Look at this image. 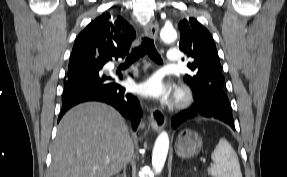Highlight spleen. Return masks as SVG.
Listing matches in <instances>:
<instances>
[{"label":"spleen","mask_w":287,"mask_h":177,"mask_svg":"<svg viewBox=\"0 0 287 177\" xmlns=\"http://www.w3.org/2000/svg\"><path fill=\"white\" fill-rule=\"evenodd\" d=\"M213 166L208 174L213 177H242L238 156L231 144L224 138L219 139L211 154Z\"/></svg>","instance_id":"3e777b00"}]
</instances>
